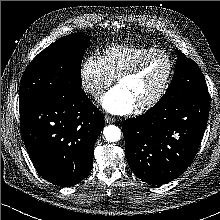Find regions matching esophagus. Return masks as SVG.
I'll return each mask as SVG.
<instances>
[{
  "label": "esophagus",
  "mask_w": 220,
  "mask_h": 220,
  "mask_svg": "<svg viewBox=\"0 0 220 220\" xmlns=\"http://www.w3.org/2000/svg\"><path fill=\"white\" fill-rule=\"evenodd\" d=\"M104 119H105L106 123H113V122H115V119L113 117H111V116H108V115H105Z\"/></svg>",
  "instance_id": "1"
}]
</instances>
